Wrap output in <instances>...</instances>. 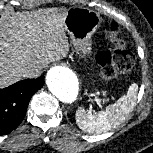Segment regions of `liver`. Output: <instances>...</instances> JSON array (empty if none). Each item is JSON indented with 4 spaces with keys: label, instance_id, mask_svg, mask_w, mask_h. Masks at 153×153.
<instances>
[{
    "label": "liver",
    "instance_id": "liver-1",
    "mask_svg": "<svg viewBox=\"0 0 153 153\" xmlns=\"http://www.w3.org/2000/svg\"><path fill=\"white\" fill-rule=\"evenodd\" d=\"M46 19L38 13H17L0 19V87L8 85L23 76L29 64H46L50 56L42 46L44 39L40 28ZM46 26L53 28V42L46 46L56 50L61 57L68 53V43L64 33V18H48ZM47 33L51 30L44 29Z\"/></svg>",
    "mask_w": 153,
    "mask_h": 153
}]
</instances>
